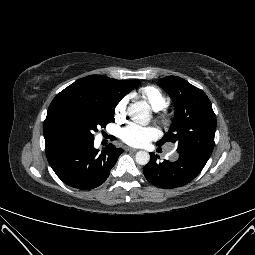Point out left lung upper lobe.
<instances>
[{
	"label": "left lung upper lobe",
	"mask_w": 255,
	"mask_h": 255,
	"mask_svg": "<svg viewBox=\"0 0 255 255\" xmlns=\"http://www.w3.org/2000/svg\"><path fill=\"white\" fill-rule=\"evenodd\" d=\"M175 105V119L168 133L157 142L178 144V153H191L209 158L214 148L216 118L206 94L177 76L158 82Z\"/></svg>",
	"instance_id": "5c2ea615"
}]
</instances>
